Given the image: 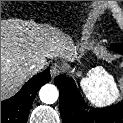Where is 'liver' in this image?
<instances>
[{
    "mask_svg": "<svg viewBox=\"0 0 123 123\" xmlns=\"http://www.w3.org/2000/svg\"><path fill=\"white\" fill-rule=\"evenodd\" d=\"M73 43L61 31L20 19L1 20V100L15 94L25 81L46 65V58L71 59Z\"/></svg>",
    "mask_w": 123,
    "mask_h": 123,
    "instance_id": "obj_1",
    "label": "liver"
}]
</instances>
